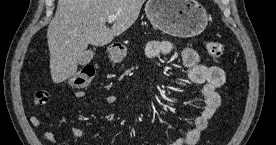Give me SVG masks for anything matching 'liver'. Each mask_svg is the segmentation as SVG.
<instances>
[{
    "instance_id": "obj_1",
    "label": "liver",
    "mask_w": 276,
    "mask_h": 145,
    "mask_svg": "<svg viewBox=\"0 0 276 145\" xmlns=\"http://www.w3.org/2000/svg\"><path fill=\"white\" fill-rule=\"evenodd\" d=\"M145 0H59L47 29L50 71L54 83L73 76L89 44L104 46L137 20ZM117 16L111 28L108 16Z\"/></svg>"
}]
</instances>
